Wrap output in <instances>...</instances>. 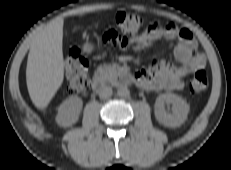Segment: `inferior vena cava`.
I'll list each match as a JSON object with an SVG mask.
<instances>
[{
	"label": "inferior vena cava",
	"instance_id": "1",
	"mask_svg": "<svg viewBox=\"0 0 231 170\" xmlns=\"http://www.w3.org/2000/svg\"><path fill=\"white\" fill-rule=\"evenodd\" d=\"M112 95V88L109 86H104L99 91V96L102 99H107Z\"/></svg>",
	"mask_w": 231,
	"mask_h": 170
}]
</instances>
